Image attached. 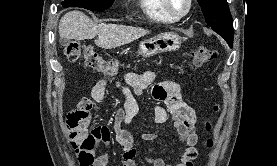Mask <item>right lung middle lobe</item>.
<instances>
[{
	"mask_svg": "<svg viewBox=\"0 0 277 166\" xmlns=\"http://www.w3.org/2000/svg\"><path fill=\"white\" fill-rule=\"evenodd\" d=\"M114 0H65L63 7H82L92 11H105L110 8Z\"/></svg>",
	"mask_w": 277,
	"mask_h": 166,
	"instance_id": "right-lung-middle-lobe-1",
	"label": "right lung middle lobe"
}]
</instances>
